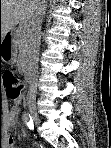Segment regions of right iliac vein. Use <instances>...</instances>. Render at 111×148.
I'll list each match as a JSON object with an SVG mask.
<instances>
[{
    "instance_id": "1",
    "label": "right iliac vein",
    "mask_w": 111,
    "mask_h": 148,
    "mask_svg": "<svg viewBox=\"0 0 111 148\" xmlns=\"http://www.w3.org/2000/svg\"><path fill=\"white\" fill-rule=\"evenodd\" d=\"M29 112L33 118V121L38 124L39 123V116H38V113L36 111V108L35 106H29Z\"/></svg>"
}]
</instances>
